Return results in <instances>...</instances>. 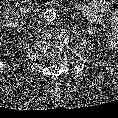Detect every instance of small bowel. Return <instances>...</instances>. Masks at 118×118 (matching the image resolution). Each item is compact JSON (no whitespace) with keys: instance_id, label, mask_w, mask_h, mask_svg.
Returning a JSON list of instances; mask_svg holds the SVG:
<instances>
[{"instance_id":"obj_1","label":"small bowel","mask_w":118,"mask_h":118,"mask_svg":"<svg viewBox=\"0 0 118 118\" xmlns=\"http://www.w3.org/2000/svg\"><path fill=\"white\" fill-rule=\"evenodd\" d=\"M79 8L91 22L99 24L102 15L108 11L109 4L106 0H89ZM107 43L111 48L118 45V10L112 16V28L107 34Z\"/></svg>"}]
</instances>
